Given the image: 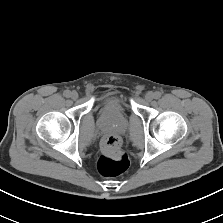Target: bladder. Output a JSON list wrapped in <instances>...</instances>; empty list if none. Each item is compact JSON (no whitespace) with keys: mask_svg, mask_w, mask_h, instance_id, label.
<instances>
[{"mask_svg":"<svg viewBox=\"0 0 223 223\" xmlns=\"http://www.w3.org/2000/svg\"><path fill=\"white\" fill-rule=\"evenodd\" d=\"M104 101H107L109 103H116L119 106L125 107L126 106V99L125 97L116 91H110L105 94L103 97Z\"/></svg>","mask_w":223,"mask_h":223,"instance_id":"1","label":"bladder"}]
</instances>
